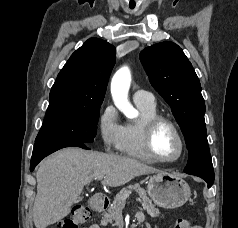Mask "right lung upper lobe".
Masks as SVG:
<instances>
[{"mask_svg":"<svg viewBox=\"0 0 238 228\" xmlns=\"http://www.w3.org/2000/svg\"><path fill=\"white\" fill-rule=\"evenodd\" d=\"M114 64L113 45L99 38L88 39L58 74L46 113L101 105Z\"/></svg>","mask_w":238,"mask_h":228,"instance_id":"obj_1","label":"right lung upper lobe"}]
</instances>
